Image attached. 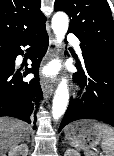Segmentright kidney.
<instances>
[{
  "instance_id": "1",
  "label": "right kidney",
  "mask_w": 114,
  "mask_h": 156,
  "mask_svg": "<svg viewBox=\"0 0 114 156\" xmlns=\"http://www.w3.org/2000/svg\"><path fill=\"white\" fill-rule=\"evenodd\" d=\"M28 155V146L26 144L17 145L12 148L8 156H27Z\"/></svg>"
}]
</instances>
